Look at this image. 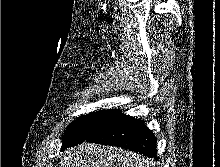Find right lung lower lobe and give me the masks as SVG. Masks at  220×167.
Returning a JSON list of instances; mask_svg holds the SVG:
<instances>
[{
  "label": "right lung lower lobe",
  "instance_id": "1",
  "mask_svg": "<svg viewBox=\"0 0 220 167\" xmlns=\"http://www.w3.org/2000/svg\"><path fill=\"white\" fill-rule=\"evenodd\" d=\"M85 141L122 147L158 159L156 138L144 121L124 115L119 109L111 110Z\"/></svg>",
  "mask_w": 220,
  "mask_h": 167
}]
</instances>
